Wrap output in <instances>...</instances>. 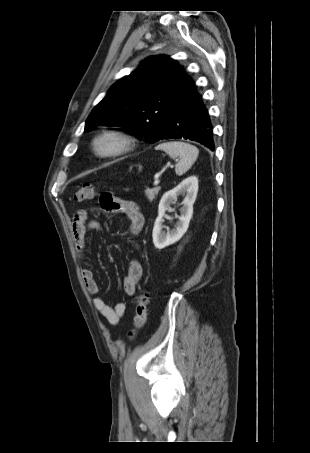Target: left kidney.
Here are the masks:
<instances>
[{
    "mask_svg": "<svg viewBox=\"0 0 310 453\" xmlns=\"http://www.w3.org/2000/svg\"><path fill=\"white\" fill-rule=\"evenodd\" d=\"M197 192L198 178L196 176H190L162 196L158 207V217L155 220L152 232L153 243L157 249H163L174 244L185 234L193 215V204L196 200ZM179 195H185L181 203L182 207L180 209V216L178 217L179 220L171 231L165 232L162 230L163 217L166 210L170 208V205L176 204Z\"/></svg>",
    "mask_w": 310,
    "mask_h": 453,
    "instance_id": "obj_1",
    "label": "left kidney"
}]
</instances>
